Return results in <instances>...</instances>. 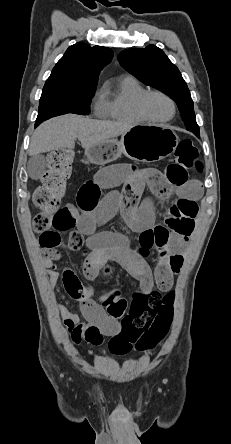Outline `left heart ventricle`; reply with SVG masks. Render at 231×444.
Here are the masks:
<instances>
[{"label":"left heart ventricle","instance_id":"left-heart-ventricle-1","mask_svg":"<svg viewBox=\"0 0 231 444\" xmlns=\"http://www.w3.org/2000/svg\"><path fill=\"white\" fill-rule=\"evenodd\" d=\"M145 106L149 115L157 119H167L172 114L171 103L160 95L149 96Z\"/></svg>","mask_w":231,"mask_h":444}]
</instances>
